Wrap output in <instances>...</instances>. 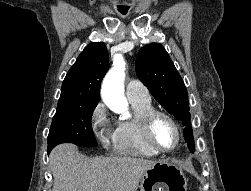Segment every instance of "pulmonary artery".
Segmentation results:
<instances>
[{"instance_id": "1", "label": "pulmonary artery", "mask_w": 251, "mask_h": 191, "mask_svg": "<svg viewBox=\"0 0 251 191\" xmlns=\"http://www.w3.org/2000/svg\"><path fill=\"white\" fill-rule=\"evenodd\" d=\"M126 95L129 100L139 99V98H148L151 99L150 95H147L146 91L143 89L142 85L137 81H129L126 84ZM152 101V99H151Z\"/></svg>"}]
</instances>
